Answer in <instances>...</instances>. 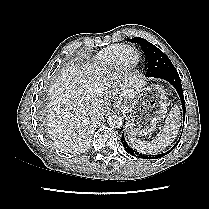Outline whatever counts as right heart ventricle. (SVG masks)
Returning <instances> with one entry per match:
<instances>
[{
    "label": "right heart ventricle",
    "mask_w": 209,
    "mask_h": 209,
    "mask_svg": "<svg viewBox=\"0 0 209 209\" xmlns=\"http://www.w3.org/2000/svg\"><path fill=\"white\" fill-rule=\"evenodd\" d=\"M123 45L115 44L111 45L102 51H100L93 59L92 67L95 71L103 73L109 70L115 63L116 56ZM138 60V54L136 53L131 60V64H135Z\"/></svg>",
    "instance_id": "1"
}]
</instances>
